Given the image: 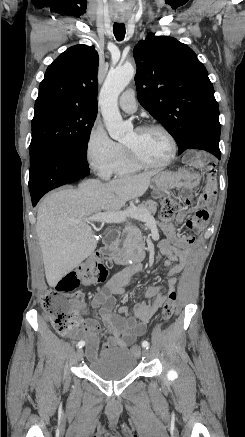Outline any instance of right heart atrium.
<instances>
[{
    "instance_id": "d8ad5b80",
    "label": "right heart atrium",
    "mask_w": 245,
    "mask_h": 437,
    "mask_svg": "<svg viewBox=\"0 0 245 437\" xmlns=\"http://www.w3.org/2000/svg\"><path fill=\"white\" fill-rule=\"evenodd\" d=\"M120 151L121 146L109 137L99 121H95L89 130L85 145V156L89 166L101 176L107 177L112 174Z\"/></svg>"
}]
</instances>
